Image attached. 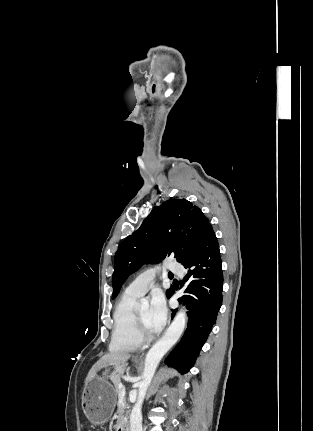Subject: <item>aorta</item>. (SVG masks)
I'll use <instances>...</instances> for the list:
<instances>
[{"label": "aorta", "mask_w": 313, "mask_h": 431, "mask_svg": "<svg viewBox=\"0 0 313 431\" xmlns=\"http://www.w3.org/2000/svg\"><path fill=\"white\" fill-rule=\"evenodd\" d=\"M146 301L141 300L144 304ZM187 323V315L184 310H180L165 334L148 351L145 358V366L142 381L139 384L138 398L130 414V431L142 430V404L147 389L152 381L156 368L163 356L176 344L181 337Z\"/></svg>", "instance_id": "762f6f07"}]
</instances>
